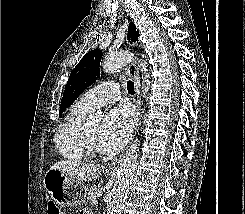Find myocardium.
Returning a JSON list of instances; mask_svg holds the SVG:
<instances>
[{"instance_id": "obj_1", "label": "myocardium", "mask_w": 245, "mask_h": 214, "mask_svg": "<svg viewBox=\"0 0 245 214\" xmlns=\"http://www.w3.org/2000/svg\"><path fill=\"white\" fill-rule=\"evenodd\" d=\"M81 145L87 156H95L100 153V149L96 147L91 140L86 131V126H82L80 133Z\"/></svg>"}]
</instances>
